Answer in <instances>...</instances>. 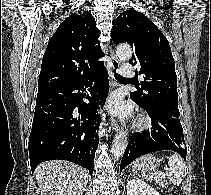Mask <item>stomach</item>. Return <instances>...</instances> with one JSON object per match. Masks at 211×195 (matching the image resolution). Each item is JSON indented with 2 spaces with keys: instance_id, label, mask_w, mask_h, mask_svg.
<instances>
[{
  "instance_id": "0dacf381",
  "label": "stomach",
  "mask_w": 211,
  "mask_h": 195,
  "mask_svg": "<svg viewBox=\"0 0 211 195\" xmlns=\"http://www.w3.org/2000/svg\"><path fill=\"white\" fill-rule=\"evenodd\" d=\"M159 162L153 154H146L135 160L132 167L136 171L152 172L158 168Z\"/></svg>"
}]
</instances>
